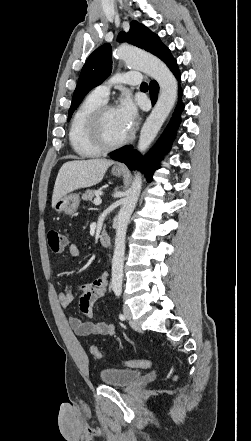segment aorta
<instances>
[{"label":"aorta","instance_id":"obj_1","mask_svg":"<svg viewBox=\"0 0 251 441\" xmlns=\"http://www.w3.org/2000/svg\"><path fill=\"white\" fill-rule=\"evenodd\" d=\"M114 57L123 60L127 66L143 71L153 77L160 86V94L155 107L142 126L138 150L143 153L155 139L177 99V81L168 67L157 57L132 47H119ZM142 188L139 172L135 173L123 205L117 216L115 248L112 258V288L121 290L125 255V237L131 214L137 204Z\"/></svg>","mask_w":251,"mask_h":441}]
</instances>
